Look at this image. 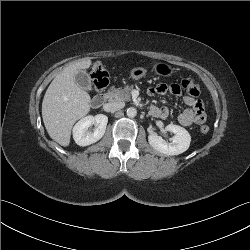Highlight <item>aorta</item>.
<instances>
[{
  "mask_svg": "<svg viewBox=\"0 0 250 250\" xmlns=\"http://www.w3.org/2000/svg\"><path fill=\"white\" fill-rule=\"evenodd\" d=\"M126 113L129 118H133L137 115V110L134 107H130L127 109Z\"/></svg>",
  "mask_w": 250,
  "mask_h": 250,
  "instance_id": "1",
  "label": "aorta"
}]
</instances>
